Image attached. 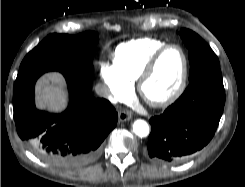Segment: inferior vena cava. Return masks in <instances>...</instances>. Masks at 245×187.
Returning <instances> with one entry per match:
<instances>
[{"label": "inferior vena cava", "instance_id": "602c4592", "mask_svg": "<svg viewBox=\"0 0 245 187\" xmlns=\"http://www.w3.org/2000/svg\"><path fill=\"white\" fill-rule=\"evenodd\" d=\"M95 91L96 93L101 96V97H105V98H109L111 99V94L107 88V86L105 84L99 83L95 86Z\"/></svg>", "mask_w": 245, "mask_h": 187}]
</instances>
